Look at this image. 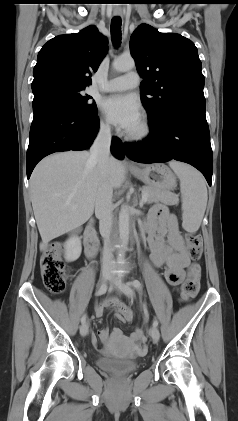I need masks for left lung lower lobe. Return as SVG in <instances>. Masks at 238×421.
<instances>
[{
    "label": "left lung lower lobe",
    "mask_w": 238,
    "mask_h": 421,
    "mask_svg": "<svg viewBox=\"0 0 238 421\" xmlns=\"http://www.w3.org/2000/svg\"><path fill=\"white\" fill-rule=\"evenodd\" d=\"M205 110V99H190L170 107L157 123L150 125V135L136 145H126L125 153L140 163L172 159L188 163L211 186L213 155Z\"/></svg>",
    "instance_id": "left-lung-lower-lobe-1"
}]
</instances>
